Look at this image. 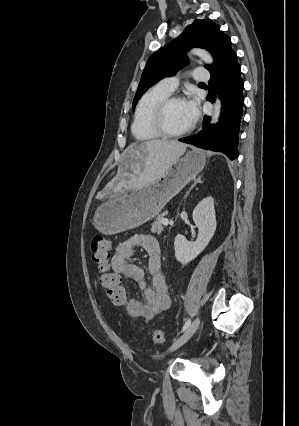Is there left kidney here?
<instances>
[{
	"label": "left kidney",
	"instance_id": "5707ae66",
	"mask_svg": "<svg viewBox=\"0 0 299 426\" xmlns=\"http://www.w3.org/2000/svg\"><path fill=\"white\" fill-rule=\"evenodd\" d=\"M192 216L198 228L196 241L190 242L181 234H178L174 241L176 260L183 265L195 259L206 248L215 233L217 222L214 199L210 196L201 200L193 210Z\"/></svg>",
	"mask_w": 299,
	"mask_h": 426
}]
</instances>
